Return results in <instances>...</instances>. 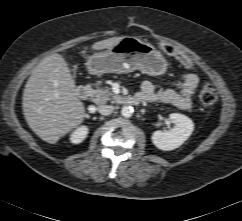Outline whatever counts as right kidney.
<instances>
[{
	"label": "right kidney",
	"instance_id": "1",
	"mask_svg": "<svg viewBox=\"0 0 242 221\" xmlns=\"http://www.w3.org/2000/svg\"><path fill=\"white\" fill-rule=\"evenodd\" d=\"M88 134V128L86 126H81L76 129L70 136V140L74 144L81 143Z\"/></svg>",
	"mask_w": 242,
	"mask_h": 221
}]
</instances>
